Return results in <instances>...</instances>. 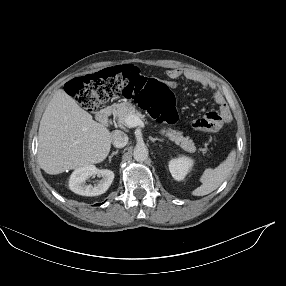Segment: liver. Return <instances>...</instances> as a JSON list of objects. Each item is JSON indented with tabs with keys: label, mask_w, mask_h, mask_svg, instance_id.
Segmentation results:
<instances>
[{
	"label": "liver",
	"mask_w": 286,
	"mask_h": 286,
	"mask_svg": "<svg viewBox=\"0 0 286 286\" xmlns=\"http://www.w3.org/2000/svg\"><path fill=\"white\" fill-rule=\"evenodd\" d=\"M112 134L92 119L63 89H58L40 121L38 162L48 174L104 161Z\"/></svg>",
	"instance_id": "obj_1"
}]
</instances>
